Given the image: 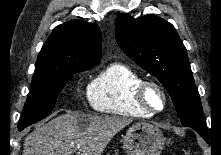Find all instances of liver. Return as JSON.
<instances>
[{
  "label": "liver",
  "instance_id": "6515ba94",
  "mask_svg": "<svg viewBox=\"0 0 221 155\" xmlns=\"http://www.w3.org/2000/svg\"><path fill=\"white\" fill-rule=\"evenodd\" d=\"M131 122L117 116L63 114L25 138L23 155H101L112 137Z\"/></svg>",
  "mask_w": 221,
  "mask_h": 155
}]
</instances>
